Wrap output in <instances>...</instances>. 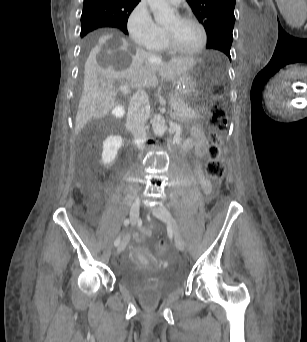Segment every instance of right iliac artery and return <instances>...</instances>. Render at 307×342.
Returning <instances> with one entry per match:
<instances>
[{
	"label": "right iliac artery",
	"mask_w": 307,
	"mask_h": 342,
	"mask_svg": "<svg viewBox=\"0 0 307 342\" xmlns=\"http://www.w3.org/2000/svg\"><path fill=\"white\" fill-rule=\"evenodd\" d=\"M130 224V220L129 219H125L124 220V225L125 226H128ZM120 244V237H118L116 240H115V242H114V245L115 246H118Z\"/></svg>",
	"instance_id": "1"
}]
</instances>
